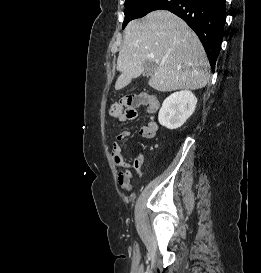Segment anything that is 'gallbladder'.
Returning <instances> with one entry per match:
<instances>
[{"label":"gallbladder","instance_id":"1","mask_svg":"<svg viewBox=\"0 0 261 273\" xmlns=\"http://www.w3.org/2000/svg\"><path fill=\"white\" fill-rule=\"evenodd\" d=\"M143 69H144L142 73L143 76H146V77L151 76L154 73L155 64L151 62H145L143 64Z\"/></svg>","mask_w":261,"mask_h":273}]
</instances>
